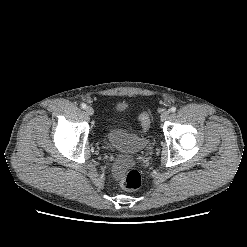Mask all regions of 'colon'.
<instances>
[{"label": "colon", "mask_w": 247, "mask_h": 247, "mask_svg": "<svg viewBox=\"0 0 247 247\" xmlns=\"http://www.w3.org/2000/svg\"><path fill=\"white\" fill-rule=\"evenodd\" d=\"M139 120L143 130H147L150 124L148 114L146 112H142L139 116ZM120 184L124 190H137L142 184V175L138 170L132 169L122 177Z\"/></svg>", "instance_id": "colon-1"}]
</instances>
